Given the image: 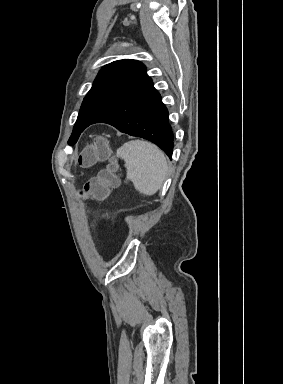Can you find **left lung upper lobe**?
I'll return each mask as SVG.
<instances>
[{
  "label": "left lung upper lobe",
  "instance_id": "1",
  "mask_svg": "<svg viewBox=\"0 0 283 384\" xmlns=\"http://www.w3.org/2000/svg\"><path fill=\"white\" fill-rule=\"evenodd\" d=\"M148 78L146 67L137 60L123 59L104 66L83 100L68 143L75 144L90 122L118 104Z\"/></svg>",
  "mask_w": 283,
  "mask_h": 384
}]
</instances>
